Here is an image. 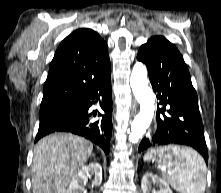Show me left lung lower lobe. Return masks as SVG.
Masks as SVG:
<instances>
[{"mask_svg": "<svg viewBox=\"0 0 221 193\" xmlns=\"http://www.w3.org/2000/svg\"><path fill=\"white\" fill-rule=\"evenodd\" d=\"M137 60L146 64L153 90L163 106L157 108L155 134L143 138L138 151L168 144L186 145L196 149L207 163L198 97L182 55L147 42L141 46ZM166 105L170 109L166 110Z\"/></svg>", "mask_w": 221, "mask_h": 193, "instance_id": "left-lung-lower-lobe-1", "label": "left lung lower lobe"}]
</instances>
